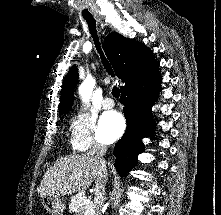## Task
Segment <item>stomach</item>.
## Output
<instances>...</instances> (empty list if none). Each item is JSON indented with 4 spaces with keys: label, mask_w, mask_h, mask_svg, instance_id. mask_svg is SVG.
Listing matches in <instances>:
<instances>
[{
    "label": "stomach",
    "mask_w": 221,
    "mask_h": 215,
    "mask_svg": "<svg viewBox=\"0 0 221 215\" xmlns=\"http://www.w3.org/2000/svg\"><path fill=\"white\" fill-rule=\"evenodd\" d=\"M43 206L52 215H63L65 204L58 195H46L42 198Z\"/></svg>",
    "instance_id": "0dacf381"
}]
</instances>
